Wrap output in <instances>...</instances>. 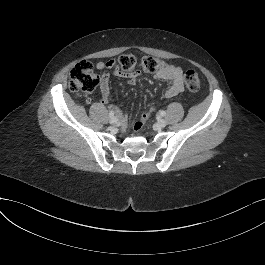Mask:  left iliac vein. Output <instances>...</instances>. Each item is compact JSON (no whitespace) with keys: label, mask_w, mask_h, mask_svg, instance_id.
I'll return each instance as SVG.
<instances>
[{"label":"left iliac vein","mask_w":265,"mask_h":265,"mask_svg":"<svg viewBox=\"0 0 265 265\" xmlns=\"http://www.w3.org/2000/svg\"><path fill=\"white\" fill-rule=\"evenodd\" d=\"M157 126L160 127V128H164L166 126V121L162 118H159L157 120Z\"/></svg>","instance_id":"1"}]
</instances>
